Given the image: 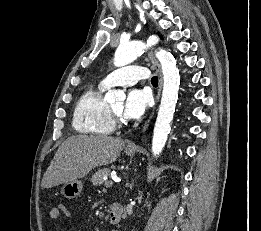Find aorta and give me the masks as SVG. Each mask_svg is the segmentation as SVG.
Wrapping results in <instances>:
<instances>
[{"mask_svg":"<svg viewBox=\"0 0 261 231\" xmlns=\"http://www.w3.org/2000/svg\"><path fill=\"white\" fill-rule=\"evenodd\" d=\"M146 48L147 45L141 41L121 43L114 55V65L116 67H122L130 64L137 59ZM156 57L161 64L164 83L152 139V153L155 157L161 154L168 134L170 133L180 85L179 71L171 53L166 50H160L156 52ZM125 98L124 91L115 89L108 91L105 95L107 102H115L116 100L124 101Z\"/></svg>","mask_w":261,"mask_h":231,"instance_id":"aorta-1","label":"aorta"}]
</instances>
